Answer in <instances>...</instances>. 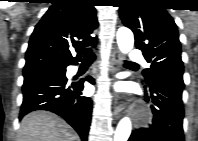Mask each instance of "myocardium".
<instances>
[{
    "instance_id": "obj_1",
    "label": "myocardium",
    "mask_w": 198,
    "mask_h": 141,
    "mask_svg": "<svg viewBox=\"0 0 198 141\" xmlns=\"http://www.w3.org/2000/svg\"><path fill=\"white\" fill-rule=\"evenodd\" d=\"M148 118H149V114H148L147 111H143V112L140 114V119H141L142 121H146V120H148Z\"/></svg>"
}]
</instances>
